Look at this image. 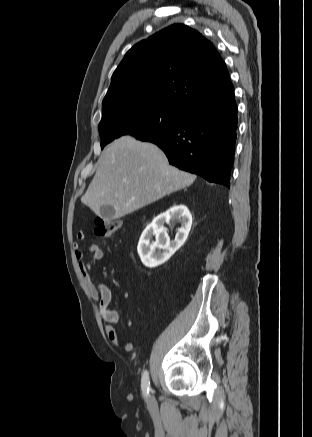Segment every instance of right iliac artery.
Instances as JSON below:
<instances>
[{
	"instance_id": "right-iliac-artery-1",
	"label": "right iliac artery",
	"mask_w": 312,
	"mask_h": 437,
	"mask_svg": "<svg viewBox=\"0 0 312 437\" xmlns=\"http://www.w3.org/2000/svg\"><path fill=\"white\" fill-rule=\"evenodd\" d=\"M141 387H142V392H143L144 396L148 397L149 390H150V379H149V374L147 371H145L143 376H142Z\"/></svg>"
}]
</instances>
